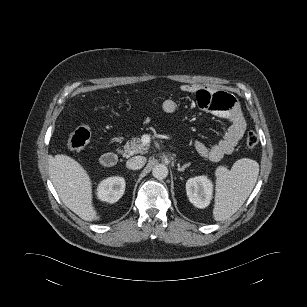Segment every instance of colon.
Returning a JSON list of instances; mask_svg holds the SVG:
<instances>
[{
	"mask_svg": "<svg viewBox=\"0 0 307 307\" xmlns=\"http://www.w3.org/2000/svg\"><path fill=\"white\" fill-rule=\"evenodd\" d=\"M90 132L86 127L77 128L68 139V147L71 151L77 152L85 148L89 143ZM259 142L258 135L250 131L246 136V145L249 148L255 147Z\"/></svg>",
	"mask_w": 307,
	"mask_h": 307,
	"instance_id": "5ec220e1",
	"label": "colon"
}]
</instances>
